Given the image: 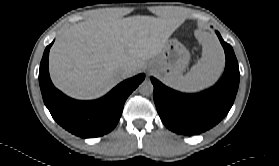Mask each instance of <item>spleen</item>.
Here are the masks:
<instances>
[{
	"label": "spleen",
	"mask_w": 279,
	"mask_h": 166,
	"mask_svg": "<svg viewBox=\"0 0 279 166\" xmlns=\"http://www.w3.org/2000/svg\"><path fill=\"white\" fill-rule=\"evenodd\" d=\"M202 56L186 75H180L168 84L183 92H197L213 85L224 67V55L218 41L207 32H198Z\"/></svg>",
	"instance_id": "1"
}]
</instances>
